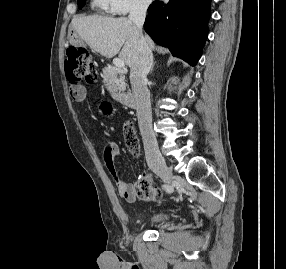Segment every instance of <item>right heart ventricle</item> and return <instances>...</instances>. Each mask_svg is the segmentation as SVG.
I'll list each match as a JSON object with an SVG mask.
<instances>
[{"label":"right heart ventricle","mask_w":286,"mask_h":269,"mask_svg":"<svg viewBox=\"0 0 286 269\" xmlns=\"http://www.w3.org/2000/svg\"><path fill=\"white\" fill-rule=\"evenodd\" d=\"M92 7L100 12L109 13L111 12V5L109 0H92Z\"/></svg>","instance_id":"right-heart-ventricle-1"}]
</instances>
